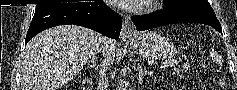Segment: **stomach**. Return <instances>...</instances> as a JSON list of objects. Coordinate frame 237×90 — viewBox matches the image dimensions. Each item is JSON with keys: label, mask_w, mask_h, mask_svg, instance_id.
Wrapping results in <instances>:
<instances>
[{"label": "stomach", "mask_w": 237, "mask_h": 90, "mask_svg": "<svg viewBox=\"0 0 237 90\" xmlns=\"http://www.w3.org/2000/svg\"><path fill=\"white\" fill-rule=\"evenodd\" d=\"M128 44L140 56L152 59L171 58L176 53V48L168 39L153 31L139 34Z\"/></svg>", "instance_id": "stomach-1"}]
</instances>
